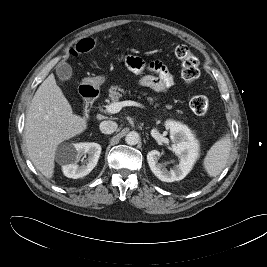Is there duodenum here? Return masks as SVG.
Listing matches in <instances>:
<instances>
[{"label":"duodenum","instance_id":"duodenum-1","mask_svg":"<svg viewBox=\"0 0 267 267\" xmlns=\"http://www.w3.org/2000/svg\"><path fill=\"white\" fill-rule=\"evenodd\" d=\"M80 93L84 98L85 111L88 112L91 104L97 99L99 95V90L96 86L92 84L82 85L80 88ZM88 114L85 115V120H88Z\"/></svg>","mask_w":267,"mask_h":267}]
</instances>
